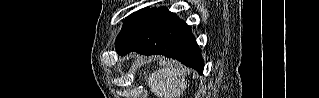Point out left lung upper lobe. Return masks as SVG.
<instances>
[{
	"label": "left lung upper lobe",
	"instance_id": "obj_1",
	"mask_svg": "<svg viewBox=\"0 0 319 98\" xmlns=\"http://www.w3.org/2000/svg\"><path fill=\"white\" fill-rule=\"evenodd\" d=\"M149 8L142 9L131 14L124 22V26L116 39V50L124 46L137 31L144 17L148 13Z\"/></svg>",
	"mask_w": 319,
	"mask_h": 98
}]
</instances>
